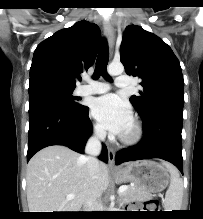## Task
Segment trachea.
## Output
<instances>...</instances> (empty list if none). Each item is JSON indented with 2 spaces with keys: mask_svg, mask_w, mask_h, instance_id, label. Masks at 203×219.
Returning a JSON list of instances; mask_svg holds the SVG:
<instances>
[{
  "mask_svg": "<svg viewBox=\"0 0 203 219\" xmlns=\"http://www.w3.org/2000/svg\"><path fill=\"white\" fill-rule=\"evenodd\" d=\"M109 51L106 40L101 42L99 54L96 61L95 72L93 74L94 79H98L99 76L104 77L106 80H111L109 75L107 74L106 68L108 64Z\"/></svg>",
  "mask_w": 203,
  "mask_h": 219,
  "instance_id": "3493384b",
  "label": "trachea"
}]
</instances>
